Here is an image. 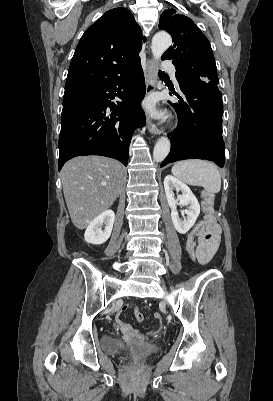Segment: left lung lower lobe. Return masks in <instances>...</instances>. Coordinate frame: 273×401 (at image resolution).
Listing matches in <instances>:
<instances>
[{
	"instance_id": "1",
	"label": "left lung lower lobe",
	"mask_w": 273,
	"mask_h": 401,
	"mask_svg": "<svg viewBox=\"0 0 273 401\" xmlns=\"http://www.w3.org/2000/svg\"><path fill=\"white\" fill-rule=\"evenodd\" d=\"M183 98L171 104L178 114V127L171 135L170 154L161 167L182 159L199 158L225 163L222 138L223 103L218 84L202 79H177ZM170 103V101H169Z\"/></svg>"
}]
</instances>
